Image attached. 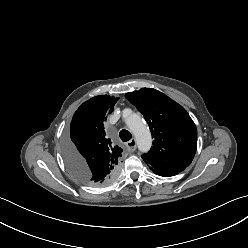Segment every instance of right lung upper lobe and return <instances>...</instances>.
Here are the masks:
<instances>
[{"label": "right lung upper lobe", "mask_w": 248, "mask_h": 248, "mask_svg": "<svg viewBox=\"0 0 248 248\" xmlns=\"http://www.w3.org/2000/svg\"><path fill=\"white\" fill-rule=\"evenodd\" d=\"M118 99L108 95L93 97L78 108L71 122L67 162H74L76 170L90 180V185L113 181L120 169L122 149L105 133L106 119ZM108 176L112 178L107 182L98 180Z\"/></svg>", "instance_id": "1"}]
</instances>
